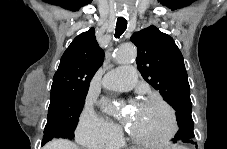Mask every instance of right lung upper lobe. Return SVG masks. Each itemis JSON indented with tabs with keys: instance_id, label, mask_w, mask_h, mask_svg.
Instances as JSON below:
<instances>
[{
	"instance_id": "cb5924a9",
	"label": "right lung upper lobe",
	"mask_w": 227,
	"mask_h": 149,
	"mask_svg": "<svg viewBox=\"0 0 227 149\" xmlns=\"http://www.w3.org/2000/svg\"><path fill=\"white\" fill-rule=\"evenodd\" d=\"M103 59L104 52L96 41L94 28L78 35L61 58L53 77L51 95L87 94L89 83Z\"/></svg>"
}]
</instances>
